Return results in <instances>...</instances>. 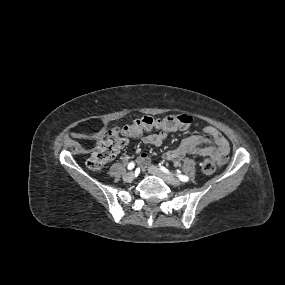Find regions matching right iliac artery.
<instances>
[{
	"label": "right iliac artery",
	"instance_id": "1",
	"mask_svg": "<svg viewBox=\"0 0 285 285\" xmlns=\"http://www.w3.org/2000/svg\"><path fill=\"white\" fill-rule=\"evenodd\" d=\"M134 167H135V163H134V162H130V163L128 164V169H129V170L133 169Z\"/></svg>",
	"mask_w": 285,
	"mask_h": 285
}]
</instances>
